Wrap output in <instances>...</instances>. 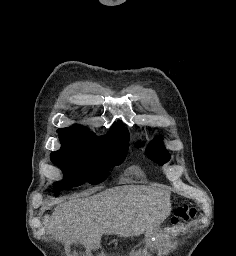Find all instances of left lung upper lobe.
<instances>
[{"label": "left lung upper lobe", "instance_id": "left-lung-upper-lobe-1", "mask_svg": "<svg viewBox=\"0 0 236 256\" xmlns=\"http://www.w3.org/2000/svg\"><path fill=\"white\" fill-rule=\"evenodd\" d=\"M138 147H141L144 145V143H138ZM146 155L148 156L149 159L152 161L158 163L159 165H162L163 163L167 162L169 160V154L165 150L163 144L161 143V139L158 141L153 140L151 141L146 150H145Z\"/></svg>", "mask_w": 236, "mask_h": 256}]
</instances>
